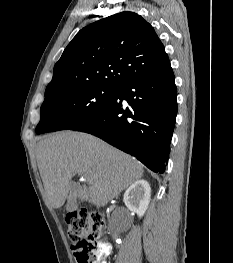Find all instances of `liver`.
I'll return each instance as SVG.
<instances>
[{
  "instance_id": "1",
  "label": "liver",
  "mask_w": 233,
  "mask_h": 263,
  "mask_svg": "<svg viewBox=\"0 0 233 263\" xmlns=\"http://www.w3.org/2000/svg\"><path fill=\"white\" fill-rule=\"evenodd\" d=\"M45 197L60 208L73 194L71 179L83 175L88 186L78 187L79 196L97 207L105 206L143 176L142 165L90 134L63 131L45 136L36 150Z\"/></svg>"
}]
</instances>
